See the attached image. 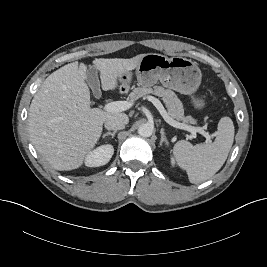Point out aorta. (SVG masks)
Masks as SVG:
<instances>
[{
  "label": "aorta",
  "mask_w": 267,
  "mask_h": 267,
  "mask_svg": "<svg viewBox=\"0 0 267 267\" xmlns=\"http://www.w3.org/2000/svg\"><path fill=\"white\" fill-rule=\"evenodd\" d=\"M154 126L151 123H143L138 127V134L142 137H150L153 133Z\"/></svg>",
  "instance_id": "aorta-1"
}]
</instances>
